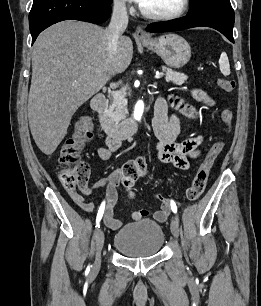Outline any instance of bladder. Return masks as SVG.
Instances as JSON below:
<instances>
[{
    "instance_id": "obj_1",
    "label": "bladder",
    "mask_w": 261,
    "mask_h": 306,
    "mask_svg": "<svg viewBox=\"0 0 261 306\" xmlns=\"http://www.w3.org/2000/svg\"><path fill=\"white\" fill-rule=\"evenodd\" d=\"M164 231L152 220H141L120 228L113 237V247L130 258H146L156 255L163 247Z\"/></svg>"
}]
</instances>
